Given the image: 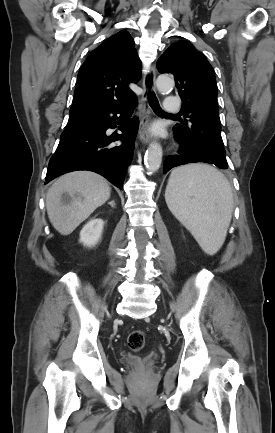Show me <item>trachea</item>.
I'll return each mask as SVG.
<instances>
[{"label": "trachea", "instance_id": "trachea-1", "mask_svg": "<svg viewBox=\"0 0 275 433\" xmlns=\"http://www.w3.org/2000/svg\"><path fill=\"white\" fill-rule=\"evenodd\" d=\"M149 103H150L151 108H152L156 113H159V114H162V115H167L166 113H164V112L162 111V109H161V107H160V105H159L158 99H157L156 95H155L153 92H151V94H150V96H149ZM171 116H175V117H177L178 115H171Z\"/></svg>", "mask_w": 275, "mask_h": 433}]
</instances>
